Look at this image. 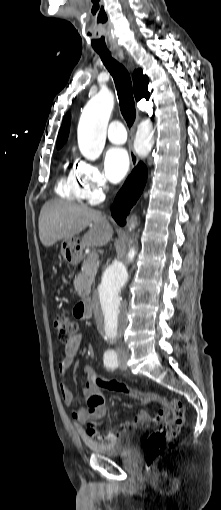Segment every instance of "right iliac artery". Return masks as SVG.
I'll return each instance as SVG.
<instances>
[{
	"label": "right iliac artery",
	"mask_w": 221,
	"mask_h": 510,
	"mask_svg": "<svg viewBox=\"0 0 221 510\" xmlns=\"http://www.w3.org/2000/svg\"><path fill=\"white\" fill-rule=\"evenodd\" d=\"M104 364L108 369H116L118 367L117 354L114 350H107L104 354Z\"/></svg>",
	"instance_id": "right-iliac-artery-1"
}]
</instances>
